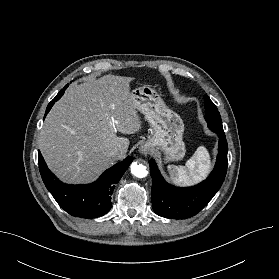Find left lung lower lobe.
<instances>
[{"mask_svg": "<svg viewBox=\"0 0 279 279\" xmlns=\"http://www.w3.org/2000/svg\"><path fill=\"white\" fill-rule=\"evenodd\" d=\"M219 135L218 156L211 175L198 185L179 188L171 186L161 176L153 159L149 161L152 177V207L165 218L186 219L199 213L220 189L227 172L228 145L225 134Z\"/></svg>", "mask_w": 279, "mask_h": 279, "instance_id": "0a47b994", "label": "left lung lower lobe"}]
</instances>
